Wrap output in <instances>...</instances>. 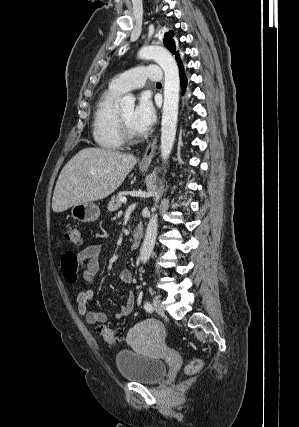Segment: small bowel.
<instances>
[{"label":"small bowel","instance_id":"small-bowel-1","mask_svg":"<svg viewBox=\"0 0 299 427\" xmlns=\"http://www.w3.org/2000/svg\"><path fill=\"white\" fill-rule=\"evenodd\" d=\"M101 254L102 244L100 241L93 242L78 253H65L61 258V268L65 280L70 284L76 283L79 279L78 267L82 265L83 280L87 285H91L101 268ZM119 281L124 285H131L133 282L131 271L127 269L121 271ZM93 295V290L90 287L78 293L76 298L78 313L85 318L88 324L106 323L108 317L105 313L88 309ZM134 302V296L130 293L121 308L113 314V320L118 321L128 316L133 310Z\"/></svg>","mask_w":299,"mask_h":427}]
</instances>
